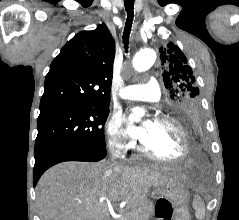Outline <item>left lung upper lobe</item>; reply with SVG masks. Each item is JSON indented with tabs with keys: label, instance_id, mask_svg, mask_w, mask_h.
<instances>
[{
	"label": "left lung upper lobe",
	"instance_id": "5c2ea615",
	"mask_svg": "<svg viewBox=\"0 0 239 220\" xmlns=\"http://www.w3.org/2000/svg\"><path fill=\"white\" fill-rule=\"evenodd\" d=\"M160 59L170 111L178 116L187 110H201L195 77L180 48L173 43L162 46Z\"/></svg>",
	"mask_w": 239,
	"mask_h": 220
}]
</instances>
